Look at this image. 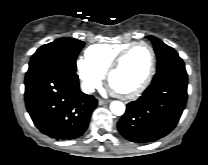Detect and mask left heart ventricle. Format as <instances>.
Masks as SVG:
<instances>
[{
	"label": "left heart ventricle",
	"instance_id": "left-heart-ventricle-1",
	"mask_svg": "<svg viewBox=\"0 0 208 165\" xmlns=\"http://www.w3.org/2000/svg\"><path fill=\"white\" fill-rule=\"evenodd\" d=\"M150 61L151 54L147 47H135L112 75L111 86L119 91L136 88L144 80L150 67Z\"/></svg>",
	"mask_w": 208,
	"mask_h": 165
}]
</instances>
